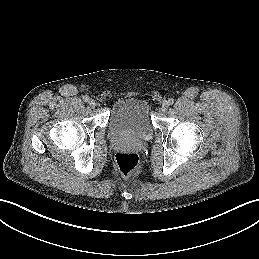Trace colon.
<instances>
[{
  "label": "colon",
  "mask_w": 259,
  "mask_h": 259,
  "mask_svg": "<svg viewBox=\"0 0 259 259\" xmlns=\"http://www.w3.org/2000/svg\"><path fill=\"white\" fill-rule=\"evenodd\" d=\"M115 164L119 172L124 176H131L139 167V157L133 152H120L115 156Z\"/></svg>",
  "instance_id": "1"
}]
</instances>
